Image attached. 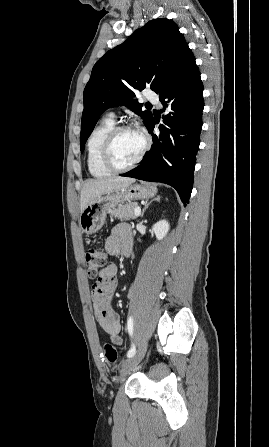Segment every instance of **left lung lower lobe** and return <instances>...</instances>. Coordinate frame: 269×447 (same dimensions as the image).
<instances>
[{
    "label": "left lung lower lobe",
    "instance_id": "1",
    "mask_svg": "<svg viewBox=\"0 0 269 447\" xmlns=\"http://www.w3.org/2000/svg\"><path fill=\"white\" fill-rule=\"evenodd\" d=\"M203 85L194 55L188 48L165 88L160 101L169 113L154 134L152 117L147 129L153 145L142 164L121 176L166 183L174 187L183 203H188L193 187L196 155L199 150L204 108Z\"/></svg>",
    "mask_w": 269,
    "mask_h": 447
}]
</instances>
